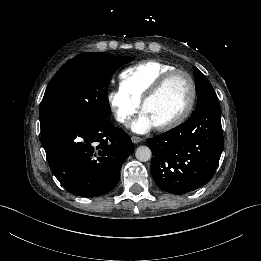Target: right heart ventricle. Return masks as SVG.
Masks as SVG:
<instances>
[{
    "mask_svg": "<svg viewBox=\"0 0 261 261\" xmlns=\"http://www.w3.org/2000/svg\"><path fill=\"white\" fill-rule=\"evenodd\" d=\"M176 69L170 63L149 59L132 65L120 74V88L139 103L152 86L167 72Z\"/></svg>",
    "mask_w": 261,
    "mask_h": 261,
    "instance_id": "obj_1",
    "label": "right heart ventricle"
}]
</instances>
